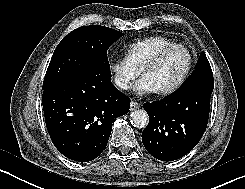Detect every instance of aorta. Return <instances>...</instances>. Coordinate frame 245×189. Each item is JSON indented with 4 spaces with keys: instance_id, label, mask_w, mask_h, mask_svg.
<instances>
[{
    "instance_id": "obj_1",
    "label": "aorta",
    "mask_w": 245,
    "mask_h": 189,
    "mask_svg": "<svg viewBox=\"0 0 245 189\" xmlns=\"http://www.w3.org/2000/svg\"><path fill=\"white\" fill-rule=\"evenodd\" d=\"M148 114L144 110H135L131 113V121L136 128H145L148 124Z\"/></svg>"
}]
</instances>
